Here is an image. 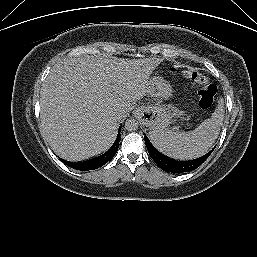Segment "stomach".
I'll return each instance as SVG.
<instances>
[{
    "label": "stomach",
    "mask_w": 257,
    "mask_h": 257,
    "mask_svg": "<svg viewBox=\"0 0 257 257\" xmlns=\"http://www.w3.org/2000/svg\"><path fill=\"white\" fill-rule=\"evenodd\" d=\"M172 93V86L162 77L154 76L148 80V95L169 98ZM135 114L143 119L150 131L164 130L172 121V115L162 106H141L135 109Z\"/></svg>",
    "instance_id": "1"
}]
</instances>
